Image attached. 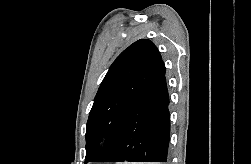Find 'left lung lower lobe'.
<instances>
[{"label": "left lung lower lobe", "mask_w": 251, "mask_h": 164, "mask_svg": "<svg viewBox=\"0 0 251 164\" xmlns=\"http://www.w3.org/2000/svg\"><path fill=\"white\" fill-rule=\"evenodd\" d=\"M168 107L164 72L133 104L113 149L102 162H166L170 138Z\"/></svg>", "instance_id": "0a47b994"}]
</instances>
